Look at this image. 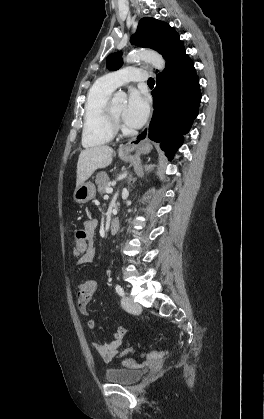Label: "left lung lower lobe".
Segmentation results:
<instances>
[{
  "mask_svg": "<svg viewBox=\"0 0 264 419\" xmlns=\"http://www.w3.org/2000/svg\"><path fill=\"white\" fill-rule=\"evenodd\" d=\"M166 68L156 76L152 91L154 113L149 126V138L160 142L169 160L182 145L198 115L201 92L194 63L178 38L162 53Z\"/></svg>",
  "mask_w": 264,
  "mask_h": 419,
  "instance_id": "1",
  "label": "left lung lower lobe"
}]
</instances>
